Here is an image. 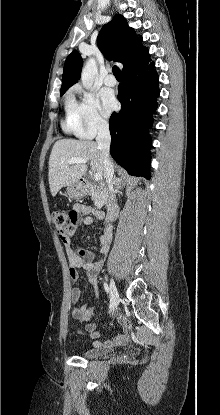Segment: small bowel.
Instances as JSON below:
<instances>
[{"label": "small bowel", "instance_id": "c3829d8e", "mask_svg": "<svg viewBox=\"0 0 220 415\" xmlns=\"http://www.w3.org/2000/svg\"><path fill=\"white\" fill-rule=\"evenodd\" d=\"M71 214L74 218L64 233L59 234L62 240L69 262V276L72 281H77L82 274L85 272V276L88 282L93 286L94 295L98 298V286H97V274L103 265L105 258L109 252L111 241H112V225L107 224L106 231L101 235L99 239L98 252L92 250L75 249L72 247L71 238L74 235L78 225H91L94 219L102 220L104 213L101 210L95 209L85 204H75L71 210ZM82 291L79 288H73L71 293L72 302L76 303L81 298ZM72 317L81 322L86 323L87 333L94 339L100 337V332L97 329V325L93 323V319L96 317V311L94 306H79L72 310ZM116 321L121 325L122 331L111 340L104 342L95 341L94 346L103 348H113L115 346H121L128 342V336L130 328L126 320L120 315H115Z\"/></svg>", "mask_w": 220, "mask_h": 415}]
</instances>
